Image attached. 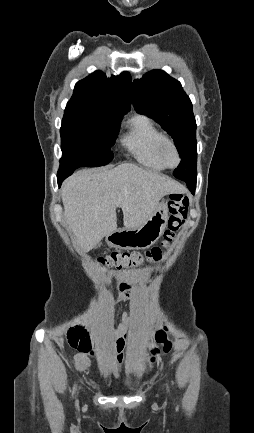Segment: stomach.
<instances>
[{"label": "stomach", "mask_w": 254, "mask_h": 433, "mask_svg": "<svg viewBox=\"0 0 254 433\" xmlns=\"http://www.w3.org/2000/svg\"><path fill=\"white\" fill-rule=\"evenodd\" d=\"M168 220L167 204L162 202L139 227L118 229L107 236L110 246L118 249H145L162 236Z\"/></svg>", "instance_id": "1"}]
</instances>
